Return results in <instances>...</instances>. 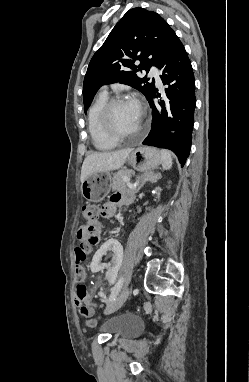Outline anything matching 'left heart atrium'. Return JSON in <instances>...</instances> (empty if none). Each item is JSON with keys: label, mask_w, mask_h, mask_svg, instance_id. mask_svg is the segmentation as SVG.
<instances>
[{"label": "left heart atrium", "mask_w": 249, "mask_h": 382, "mask_svg": "<svg viewBox=\"0 0 249 382\" xmlns=\"http://www.w3.org/2000/svg\"><path fill=\"white\" fill-rule=\"evenodd\" d=\"M129 102L138 112L141 113L140 103L137 100H131Z\"/></svg>", "instance_id": "1"}]
</instances>
